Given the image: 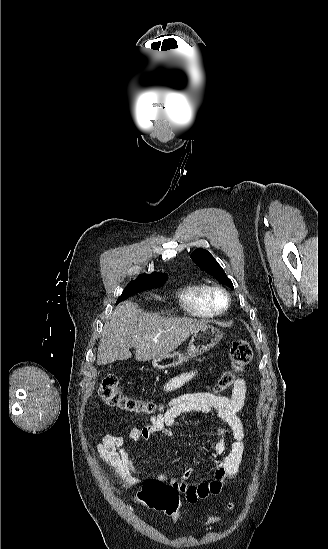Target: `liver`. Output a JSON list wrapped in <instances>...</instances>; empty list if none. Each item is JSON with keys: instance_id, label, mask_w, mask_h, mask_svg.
<instances>
[{"instance_id": "obj_1", "label": "liver", "mask_w": 328, "mask_h": 549, "mask_svg": "<svg viewBox=\"0 0 328 549\" xmlns=\"http://www.w3.org/2000/svg\"><path fill=\"white\" fill-rule=\"evenodd\" d=\"M207 323L190 317H161L124 301L112 311L103 327L97 365L131 359V347L136 349L137 361L159 359L175 351L192 333L207 327Z\"/></svg>"}]
</instances>
